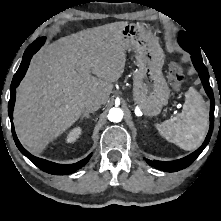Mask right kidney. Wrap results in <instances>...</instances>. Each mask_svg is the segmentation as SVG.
Here are the masks:
<instances>
[{
    "mask_svg": "<svg viewBox=\"0 0 221 221\" xmlns=\"http://www.w3.org/2000/svg\"><path fill=\"white\" fill-rule=\"evenodd\" d=\"M81 131H82V130H81L80 127H77V128L72 129V130L67 134L66 142H67V143L75 142L76 139L80 136Z\"/></svg>",
    "mask_w": 221,
    "mask_h": 221,
    "instance_id": "right-kidney-1",
    "label": "right kidney"
}]
</instances>
